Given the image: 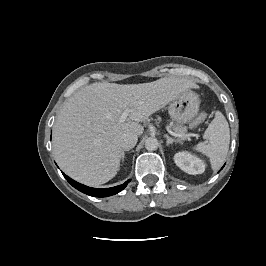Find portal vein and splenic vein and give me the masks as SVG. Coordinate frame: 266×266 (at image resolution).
I'll list each match as a JSON object with an SVG mask.
<instances>
[{
	"label": "portal vein and splenic vein",
	"mask_w": 266,
	"mask_h": 266,
	"mask_svg": "<svg viewBox=\"0 0 266 266\" xmlns=\"http://www.w3.org/2000/svg\"><path fill=\"white\" fill-rule=\"evenodd\" d=\"M129 113H130L129 109L124 110L123 113L120 116V121L121 122H125V120L129 116ZM167 130H168V132L170 134H172L173 136H176V137H187V138H189L191 136H194V134H177V133L172 132L170 129H167Z\"/></svg>",
	"instance_id": "1"
}]
</instances>
